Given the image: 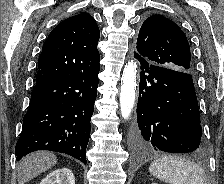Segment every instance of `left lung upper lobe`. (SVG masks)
I'll return each mask as SVG.
<instances>
[{
	"instance_id": "5c2ea615",
	"label": "left lung upper lobe",
	"mask_w": 224,
	"mask_h": 184,
	"mask_svg": "<svg viewBox=\"0 0 224 184\" xmlns=\"http://www.w3.org/2000/svg\"><path fill=\"white\" fill-rule=\"evenodd\" d=\"M134 55L149 64L185 73L193 72L186 35L176 23L161 15H152L144 21Z\"/></svg>"
}]
</instances>
